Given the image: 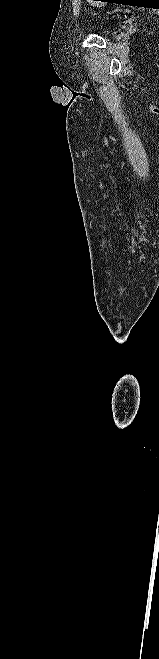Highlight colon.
Here are the masks:
<instances>
[{
	"label": "colon",
	"mask_w": 159,
	"mask_h": 659,
	"mask_svg": "<svg viewBox=\"0 0 159 659\" xmlns=\"http://www.w3.org/2000/svg\"><path fill=\"white\" fill-rule=\"evenodd\" d=\"M88 1H89L90 3H94V2H96L97 0H88Z\"/></svg>",
	"instance_id": "5ec220e1"
}]
</instances>
